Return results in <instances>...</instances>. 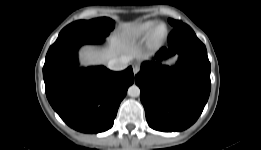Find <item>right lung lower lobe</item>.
<instances>
[{"label":"right lung lower lobe","mask_w":261,"mask_h":150,"mask_svg":"<svg viewBox=\"0 0 261 150\" xmlns=\"http://www.w3.org/2000/svg\"><path fill=\"white\" fill-rule=\"evenodd\" d=\"M104 37L66 35L49 48L43 67L49 103L71 128L99 133L113 126L120 102L134 82L132 67L113 72L103 66L78 68V49Z\"/></svg>","instance_id":"1"}]
</instances>
